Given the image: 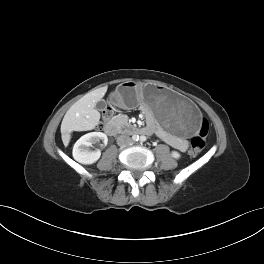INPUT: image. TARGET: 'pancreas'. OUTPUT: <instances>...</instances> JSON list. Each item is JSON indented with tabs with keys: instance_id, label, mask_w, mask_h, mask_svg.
Segmentation results:
<instances>
[{
	"instance_id": "cf45deb5",
	"label": "pancreas",
	"mask_w": 264,
	"mask_h": 264,
	"mask_svg": "<svg viewBox=\"0 0 264 264\" xmlns=\"http://www.w3.org/2000/svg\"><path fill=\"white\" fill-rule=\"evenodd\" d=\"M115 121L119 124V125H124L127 123V117L123 116V115H119L115 117Z\"/></svg>"
}]
</instances>
